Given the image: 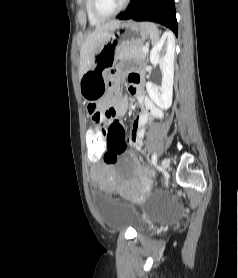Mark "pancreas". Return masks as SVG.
<instances>
[{
	"label": "pancreas",
	"instance_id": "obj_1",
	"mask_svg": "<svg viewBox=\"0 0 238 278\" xmlns=\"http://www.w3.org/2000/svg\"><path fill=\"white\" fill-rule=\"evenodd\" d=\"M143 44H131L126 45L118 51L117 58L125 59V58H135V59H144L147 55L143 51Z\"/></svg>",
	"mask_w": 238,
	"mask_h": 278
}]
</instances>
